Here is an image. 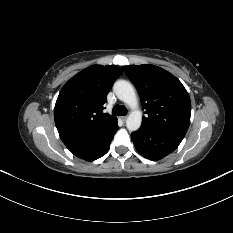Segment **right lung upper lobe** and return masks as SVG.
Instances as JSON below:
<instances>
[{"label": "right lung upper lobe", "instance_id": "right-lung-upper-lobe-1", "mask_svg": "<svg viewBox=\"0 0 233 233\" xmlns=\"http://www.w3.org/2000/svg\"><path fill=\"white\" fill-rule=\"evenodd\" d=\"M121 73L116 65H93L66 82L54 108L55 124L64 144L86 138L117 121L102 110Z\"/></svg>", "mask_w": 233, "mask_h": 233}]
</instances>
